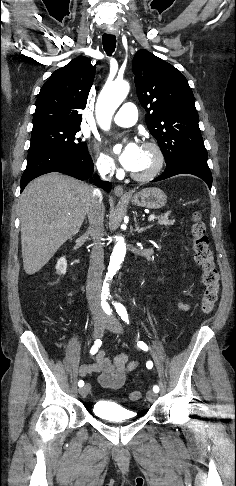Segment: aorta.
I'll return each mask as SVG.
<instances>
[{"label":"aorta","instance_id":"aorta-1","mask_svg":"<svg viewBox=\"0 0 236 486\" xmlns=\"http://www.w3.org/2000/svg\"><path fill=\"white\" fill-rule=\"evenodd\" d=\"M129 83L126 81H116L106 84L102 89L97 103L96 115L101 126L107 128L115 110L124 101L129 93ZM117 145L115 150H119ZM126 254V244L122 236L116 237V244L114 246L108 272L102 287V294L109 295V280L113 278L116 272L120 269L121 263L124 261Z\"/></svg>","mask_w":236,"mask_h":486}]
</instances>
